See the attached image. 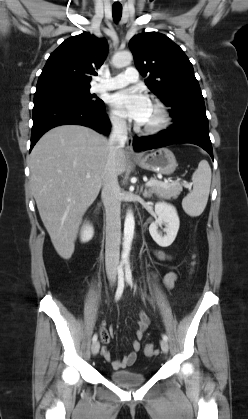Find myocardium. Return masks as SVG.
I'll return each instance as SVG.
<instances>
[{
  "label": "myocardium",
  "instance_id": "1",
  "mask_svg": "<svg viewBox=\"0 0 248 419\" xmlns=\"http://www.w3.org/2000/svg\"><path fill=\"white\" fill-rule=\"evenodd\" d=\"M151 105L158 113V120L150 125H140L138 129L144 134H156L163 131L168 127L171 120L168 108L161 101L153 100Z\"/></svg>",
  "mask_w": 248,
  "mask_h": 419
}]
</instances>
